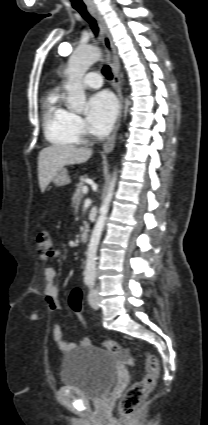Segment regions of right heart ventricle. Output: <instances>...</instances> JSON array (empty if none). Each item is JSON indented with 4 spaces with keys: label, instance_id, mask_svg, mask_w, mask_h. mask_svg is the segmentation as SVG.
I'll return each instance as SVG.
<instances>
[{
    "label": "right heart ventricle",
    "instance_id": "right-heart-ventricle-1",
    "mask_svg": "<svg viewBox=\"0 0 208 425\" xmlns=\"http://www.w3.org/2000/svg\"><path fill=\"white\" fill-rule=\"evenodd\" d=\"M73 113L65 107L62 95L49 93L43 102V129L46 139L56 146H75L79 137L72 125Z\"/></svg>",
    "mask_w": 208,
    "mask_h": 425
}]
</instances>
